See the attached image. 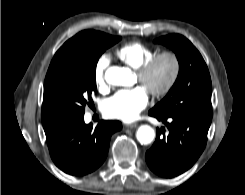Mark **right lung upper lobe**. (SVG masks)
<instances>
[{
  "label": "right lung upper lobe",
  "instance_id": "cb5924a9",
  "mask_svg": "<svg viewBox=\"0 0 245 195\" xmlns=\"http://www.w3.org/2000/svg\"><path fill=\"white\" fill-rule=\"evenodd\" d=\"M82 32H93V30H85ZM41 119H42V124L44 131H50L61 124L59 119L55 116V114L52 112V110L48 107L47 103L43 100V105H42V112H41Z\"/></svg>",
  "mask_w": 245,
  "mask_h": 195
}]
</instances>
